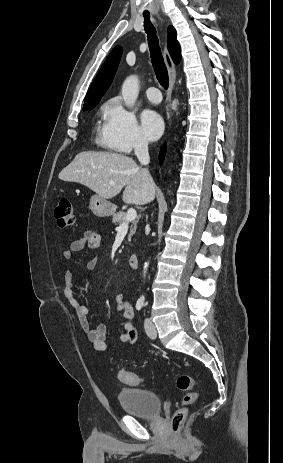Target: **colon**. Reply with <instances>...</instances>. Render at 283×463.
Returning a JSON list of instances; mask_svg holds the SVG:
<instances>
[{"label": "colon", "instance_id": "1", "mask_svg": "<svg viewBox=\"0 0 283 463\" xmlns=\"http://www.w3.org/2000/svg\"><path fill=\"white\" fill-rule=\"evenodd\" d=\"M55 217L60 227H71L75 223V215L73 212L72 203L68 198H61L55 210ZM118 378L121 382L131 386H137L143 383V378L133 372L119 370ZM177 387L183 393L181 406L175 411L172 416V427L175 435L180 433V429L187 417L189 408L198 400V391L192 377L188 375H180L177 378Z\"/></svg>", "mask_w": 283, "mask_h": 463}]
</instances>
